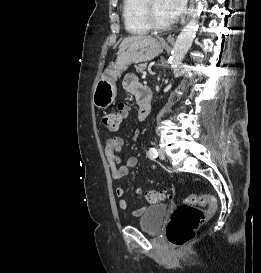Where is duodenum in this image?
Masks as SVG:
<instances>
[{
	"label": "duodenum",
	"instance_id": "duodenum-1",
	"mask_svg": "<svg viewBox=\"0 0 261 273\" xmlns=\"http://www.w3.org/2000/svg\"><path fill=\"white\" fill-rule=\"evenodd\" d=\"M139 103V113L138 119L143 121L150 113L151 110V93L147 89H143L142 96L138 99Z\"/></svg>",
	"mask_w": 261,
	"mask_h": 273
}]
</instances>
